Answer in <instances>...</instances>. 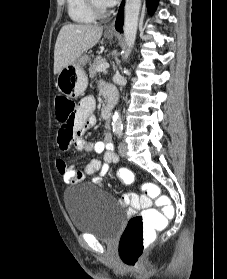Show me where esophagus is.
Returning a JSON list of instances; mask_svg holds the SVG:
<instances>
[{
  "mask_svg": "<svg viewBox=\"0 0 227 279\" xmlns=\"http://www.w3.org/2000/svg\"><path fill=\"white\" fill-rule=\"evenodd\" d=\"M106 32L115 33V28H114V22L113 21L106 27Z\"/></svg>",
  "mask_w": 227,
  "mask_h": 279,
  "instance_id": "esophagus-1",
  "label": "esophagus"
}]
</instances>
